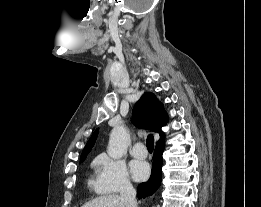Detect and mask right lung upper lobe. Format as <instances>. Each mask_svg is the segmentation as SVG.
<instances>
[{
  "label": "right lung upper lobe",
  "mask_w": 261,
  "mask_h": 207,
  "mask_svg": "<svg viewBox=\"0 0 261 207\" xmlns=\"http://www.w3.org/2000/svg\"><path fill=\"white\" fill-rule=\"evenodd\" d=\"M132 122L136 127L157 132L160 135V139L156 142V144L164 141L165 134L162 131V127L168 122V116L164 110L163 104L158 101L153 93L146 92L137 101L133 109ZM97 135L98 129L92 134L83 149L81 159L86 158L96 141Z\"/></svg>",
  "instance_id": "right-lung-upper-lobe-1"
}]
</instances>
